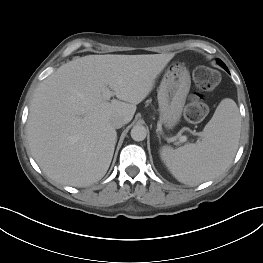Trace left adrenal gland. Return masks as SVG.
Listing matches in <instances>:
<instances>
[{
	"instance_id": "obj_1",
	"label": "left adrenal gland",
	"mask_w": 263,
	"mask_h": 263,
	"mask_svg": "<svg viewBox=\"0 0 263 263\" xmlns=\"http://www.w3.org/2000/svg\"><path fill=\"white\" fill-rule=\"evenodd\" d=\"M157 136H158V138H159V140H160V134L157 132Z\"/></svg>"
}]
</instances>
